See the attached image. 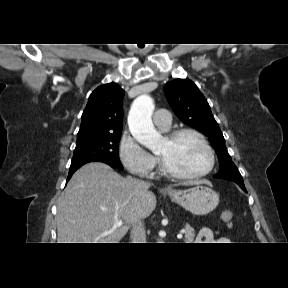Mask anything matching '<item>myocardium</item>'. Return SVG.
I'll list each match as a JSON object with an SVG mask.
<instances>
[{"mask_svg":"<svg viewBox=\"0 0 288 288\" xmlns=\"http://www.w3.org/2000/svg\"><path fill=\"white\" fill-rule=\"evenodd\" d=\"M184 135H192V136L196 137L202 143V145L205 147V149L209 155L208 167L199 173L186 174V173H182V172H179V171L173 169L161 157H159V161H160V165H161V169H162L163 173L168 175V176H171V177H174L177 179H184V180L199 179V178L207 176L209 173L212 172V170L215 167V163H216L215 152H214L211 144L209 143L207 138L201 132H199L198 130L193 129V128H180V129L173 130L167 134L166 138L169 141H175Z\"/></svg>","mask_w":288,"mask_h":288,"instance_id":"myocardium-1","label":"myocardium"}]
</instances>
